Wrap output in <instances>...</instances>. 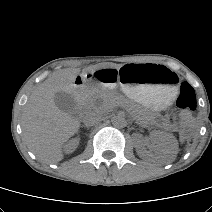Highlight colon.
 <instances>
[{"label": "colon", "instance_id": "colon-1", "mask_svg": "<svg viewBox=\"0 0 212 212\" xmlns=\"http://www.w3.org/2000/svg\"><path fill=\"white\" fill-rule=\"evenodd\" d=\"M177 106L181 110L182 121L189 126L193 123L192 112L197 108V96L194 88L187 82L180 86Z\"/></svg>", "mask_w": 212, "mask_h": 212}]
</instances>
